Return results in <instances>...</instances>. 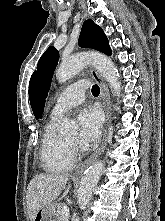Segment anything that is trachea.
<instances>
[{
  "label": "trachea",
  "instance_id": "1",
  "mask_svg": "<svg viewBox=\"0 0 165 221\" xmlns=\"http://www.w3.org/2000/svg\"><path fill=\"white\" fill-rule=\"evenodd\" d=\"M99 93H100V88H99V86H98V85H93V86H92V94H93V95H99Z\"/></svg>",
  "mask_w": 165,
  "mask_h": 221
}]
</instances>
